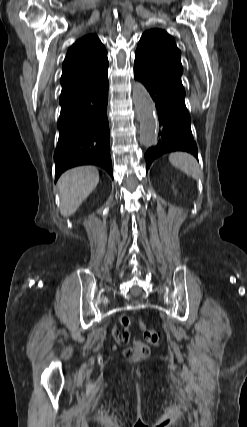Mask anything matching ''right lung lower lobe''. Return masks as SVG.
I'll return each mask as SVG.
<instances>
[{"label":"right lung lower lobe","instance_id":"right-lung-lower-lobe-1","mask_svg":"<svg viewBox=\"0 0 247 427\" xmlns=\"http://www.w3.org/2000/svg\"><path fill=\"white\" fill-rule=\"evenodd\" d=\"M108 77L61 92L55 175L79 165H97L113 177L107 119Z\"/></svg>","mask_w":247,"mask_h":427}]
</instances>
